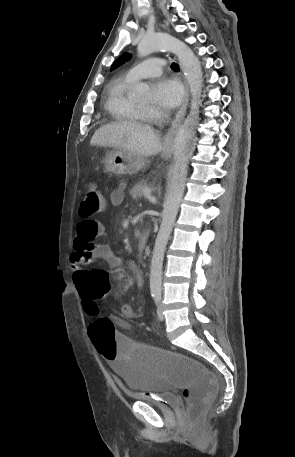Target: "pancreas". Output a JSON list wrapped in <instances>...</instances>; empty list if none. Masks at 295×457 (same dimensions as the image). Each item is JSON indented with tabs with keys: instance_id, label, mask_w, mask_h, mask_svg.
Listing matches in <instances>:
<instances>
[{
	"instance_id": "cf45deb5",
	"label": "pancreas",
	"mask_w": 295,
	"mask_h": 457,
	"mask_svg": "<svg viewBox=\"0 0 295 457\" xmlns=\"http://www.w3.org/2000/svg\"><path fill=\"white\" fill-rule=\"evenodd\" d=\"M145 188H147V183L141 182L132 188V190L130 191V194L134 199L140 198L143 196V191Z\"/></svg>"
}]
</instances>
